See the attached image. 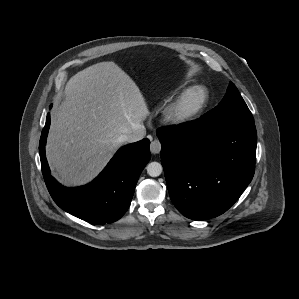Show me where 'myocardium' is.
I'll list each match as a JSON object with an SVG mask.
<instances>
[{
	"instance_id": "obj_1",
	"label": "myocardium",
	"mask_w": 299,
	"mask_h": 299,
	"mask_svg": "<svg viewBox=\"0 0 299 299\" xmlns=\"http://www.w3.org/2000/svg\"><path fill=\"white\" fill-rule=\"evenodd\" d=\"M197 97L195 102L191 100ZM209 101V91L203 85H195L185 90L166 112V120L175 125H184L196 120Z\"/></svg>"
}]
</instances>
